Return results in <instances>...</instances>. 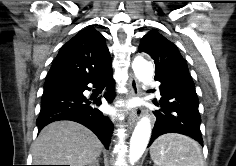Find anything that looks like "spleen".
Returning a JSON list of instances; mask_svg holds the SVG:
<instances>
[{"instance_id":"obj_1","label":"spleen","mask_w":236,"mask_h":166,"mask_svg":"<svg viewBox=\"0 0 236 166\" xmlns=\"http://www.w3.org/2000/svg\"><path fill=\"white\" fill-rule=\"evenodd\" d=\"M150 155L157 166H203L197 142L180 134L160 136L151 146Z\"/></svg>"}]
</instances>
